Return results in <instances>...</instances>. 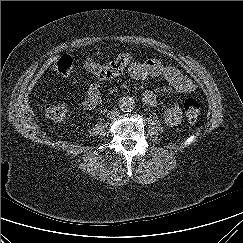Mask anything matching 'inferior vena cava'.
Wrapping results in <instances>:
<instances>
[{"instance_id": "602c4592", "label": "inferior vena cava", "mask_w": 243, "mask_h": 243, "mask_svg": "<svg viewBox=\"0 0 243 243\" xmlns=\"http://www.w3.org/2000/svg\"><path fill=\"white\" fill-rule=\"evenodd\" d=\"M119 116V111L111 110L107 113V118L110 120L116 119Z\"/></svg>"}]
</instances>
